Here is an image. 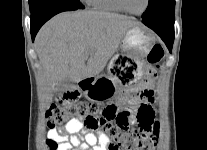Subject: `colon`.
<instances>
[{
  "instance_id": "1",
  "label": "colon",
  "mask_w": 207,
  "mask_h": 150,
  "mask_svg": "<svg viewBox=\"0 0 207 150\" xmlns=\"http://www.w3.org/2000/svg\"><path fill=\"white\" fill-rule=\"evenodd\" d=\"M164 57V49L155 44L147 55L151 65L149 79L156 75ZM155 87H142L131 96L125 105L110 103L99 105L95 102L64 97L55 103L46 113L47 125L55 128L74 118H82L88 130L103 127L113 137L107 150H156L159 125L157 116ZM49 150H58V143L48 139Z\"/></svg>"
}]
</instances>
